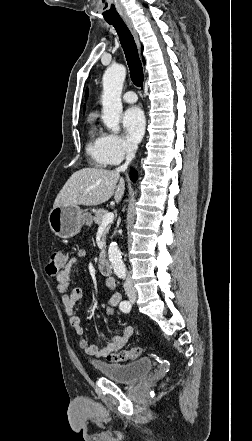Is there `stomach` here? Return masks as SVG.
Here are the masks:
<instances>
[{"label":"stomach","instance_id":"0dacf381","mask_svg":"<svg viewBox=\"0 0 252 441\" xmlns=\"http://www.w3.org/2000/svg\"><path fill=\"white\" fill-rule=\"evenodd\" d=\"M48 223L56 236L68 239L78 234L84 224L90 225L92 216L79 206H53L48 215Z\"/></svg>","mask_w":252,"mask_h":441}]
</instances>
